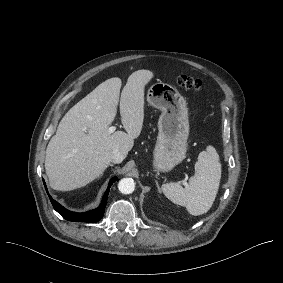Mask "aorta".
Masks as SVG:
<instances>
[{"label":"aorta","instance_id":"obj_1","mask_svg":"<svg viewBox=\"0 0 283 283\" xmlns=\"http://www.w3.org/2000/svg\"><path fill=\"white\" fill-rule=\"evenodd\" d=\"M118 189L122 194H131L135 189L134 180L131 178H123L118 183Z\"/></svg>","mask_w":283,"mask_h":283}]
</instances>
